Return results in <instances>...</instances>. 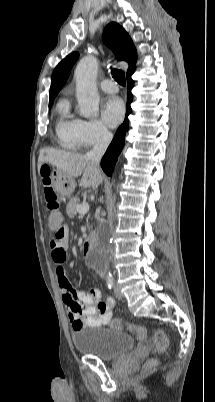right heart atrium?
Wrapping results in <instances>:
<instances>
[{"label":"right heart atrium","mask_w":215,"mask_h":402,"mask_svg":"<svg viewBox=\"0 0 215 402\" xmlns=\"http://www.w3.org/2000/svg\"><path fill=\"white\" fill-rule=\"evenodd\" d=\"M76 138L79 146L91 147L106 142L110 138V132L96 119H79L76 124Z\"/></svg>","instance_id":"1"}]
</instances>
